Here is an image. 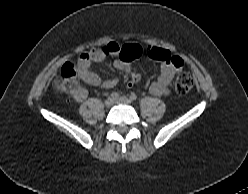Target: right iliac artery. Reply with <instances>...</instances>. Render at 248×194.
Returning a JSON list of instances; mask_svg holds the SVG:
<instances>
[{
  "label": "right iliac artery",
  "mask_w": 248,
  "mask_h": 194,
  "mask_svg": "<svg viewBox=\"0 0 248 194\" xmlns=\"http://www.w3.org/2000/svg\"><path fill=\"white\" fill-rule=\"evenodd\" d=\"M110 97L113 99V100H116L118 97H119V94L117 92H112Z\"/></svg>",
  "instance_id": "1"
}]
</instances>
